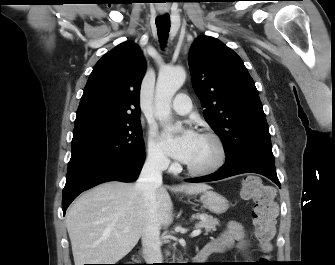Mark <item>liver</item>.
<instances>
[{
  "mask_svg": "<svg viewBox=\"0 0 335 265\" xmlns=\"http://www.w3.org/2000/svg\"><path fill=\"white\" fill-rule=\"evenodd\" d=\"M210 189L201 183L173 187L189 195ZM156 215L160 226L173 221V204L165 186L156 190ZM146 207L134 184L107 182L82 194L68 209L66 227L75 265L116 264L142 236Z\"/></svg>",
  "mask_w": 335,
  "mask_h": 265,
  "instance_id": "1",
  "label": "liver"
}]
</instances>
